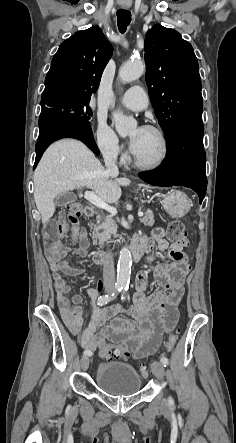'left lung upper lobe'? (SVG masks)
<instances>
[{
	"mask_svg": "<svg viewBox=\"0 0 236 443\" xmlns=\"http://www.w3.org/2000/svg\"><path fill=\"white\" fill-rule=\"evenodd\" d=\"M146 82L166 137L180 123L202 120L203 99L197 58L174 29L154 25L145 37Z\"/></svg>",
	"mask_w": 236,
	"mask_h": 443,
	"instance_id": "1",
	"label": "left lung upper lobe"
}]
</instances>
